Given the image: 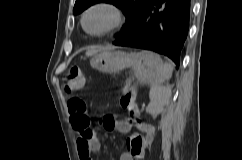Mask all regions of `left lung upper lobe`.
<instances>
[{
    "label": "left lung upper lobe",
    "mask_w": 242,
    "mask_h": 160,
    "mask_svg": "<svg viewBox=\"0 0 242 160\" xmlns=\"http://www.w3.org/2000/svg\"><path fill=\"white\" fill-rule=\"evenodd\" d=\"M99 2L114 4L118 8L122 9L126 16V23L122 27V31L115 36L117 39L131 31L134 22L145 9L148 0H76L73 13L79 14L91 5Z\"/></svg>",
    "instance_id": "obj_1"
}]
</instances>
